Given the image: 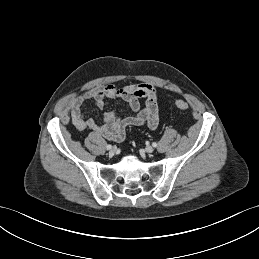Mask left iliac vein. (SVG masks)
<instances>
[{
    "label": "left iliac vein",
    "mask_w": 259,
    "mask_h": 259,
    "mask_svg": "<svg viewBox=\"0 0 259 259\" xmlns=\"http://www.w3.org/2000/svg\"><path fill=\"white\" fill-rule=\"evenodd\" d=\"M145 151L150 154V153H152L154 151V148L152 146H147L145 148Z\"/></svg>",
    "instance_id": "4c4485c4"
}]
</instances>
